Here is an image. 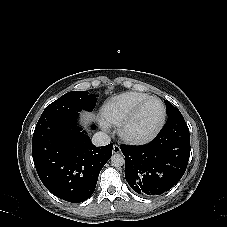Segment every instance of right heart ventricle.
Listing matches in <instances>:
<instances>
[{
    "mask_svg": "<svg viewBox=\"0 0 227 227\" xmlns=\"http://www.w3.org/2000/svg\"><path fill=\"white\" fill-rule=\"evenodd\" d=\"M149 97L148 94L137 92L116 95L103 104L101 116L108 123L120 124Z\"/></svg>",
    "mask_w": 227,
    "mask_h": 227,
    "instance_id": "e07e8e85",
    "label": "right heart ventricle"
}]
</instances>
